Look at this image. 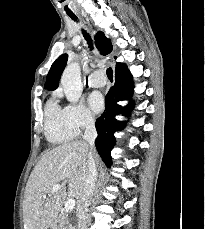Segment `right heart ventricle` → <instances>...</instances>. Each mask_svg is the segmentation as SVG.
I'll list each match as a JSON object with an SVG mask.
<instances>
[{
	"label": "right heart ventricle",
	"mask_w": 205,
	"mask_h": 229,
	"mask_svg": "<svg viewBox=\"0 0 205 229\" xmlns=\"http://www.w3.org/2000/svg\"><path fill=\"white\" fill-rule=\"evenodd\" d=\"M44 131L47 140L56 145L68 143L78 134L67 121L64 108L58 105L54 97L45 106Z\"/></svg>",
	"instance_id": "1"
}]
</instances>
